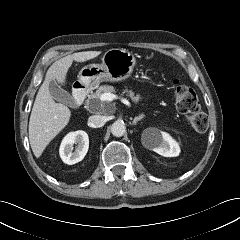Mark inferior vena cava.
Listing matches in <instances>:
<instances>
[{"label": "inferior vena cava", "instance_id": "obj_1", "mask_svg": "<svg viewBox=\"0 0 240 240\" xmlns=\"http://www.w3.org/2000/svg\"><path fill=\"white\" fill-rule=\"evenodd\" d=\"M107 118L102 115H92L88 118V125L93 128H99L104 126Z\"/></svg>", "mask_w": 240, "mask_h": 240}]
</instances>
